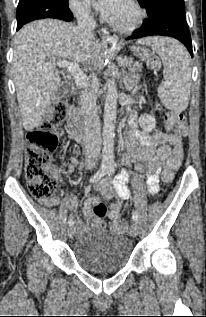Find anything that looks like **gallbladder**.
<instances>
[{"label":"gallbladder","mask_w":206,"mask_h":317,"mask_svg":"<svg viewBox=\"0 0 206 317\" xmlns=\"http://www.w3.org/2000/svg\"><path fill=\"white\" fill-rule=\"evenodd\" d=\"M70 84L66 81L62 83L61 88L54 94V98L56 100H59L65 93L66 90H68Z\"/></svg>","instance_id":"obj_1"}]
</instances>
